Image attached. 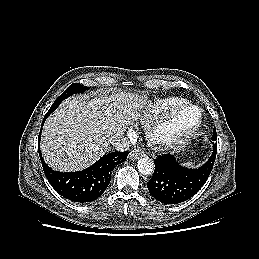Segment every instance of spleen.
<instances>
[{"label": "spleen", "instance_id": "spleen-1", "mask_svg": "<svg viewBox=\"0 0 259 259\" xmlns=\"http://www.w3.org/2000/svg\"><path fill=\"white\" fill-rule=\"evenodd\" d=\"M182 165H183V166H187V167H193V166H194V163H192V162H187V163H183Z\"/></svg>", "mask_w": 259, "mask_h": 259}]
</instances>
